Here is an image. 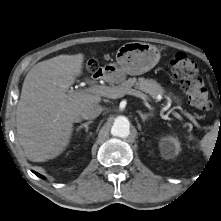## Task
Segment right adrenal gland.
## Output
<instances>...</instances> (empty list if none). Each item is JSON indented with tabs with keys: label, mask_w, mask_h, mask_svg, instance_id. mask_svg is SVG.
<instances>
[{
	"label": "right adrenal gland",
	"mask_w": 221,
	"mask_h": 221,
	"mask_svg": "<svg viewBox=\"0 0 221 221\" xmlns=\"http://www.w3.org/2000/svg\"><path fill=\"white\" fill-rule=\"evenodd\" d=\"M79 120H77L76 122H78ZM92 123V121H88V122H85V123H82L80 126H78L77 128H76V131H79L80 129H82V128H85V131H86V133L88 132V129H89V124H91Z\"/></svg>",
	"instance_id": "1"
}]
</instances>
